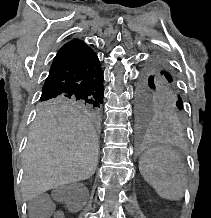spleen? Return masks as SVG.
I'll use <instances>...</instances> for the list:
<instances>
[{
    "label": "spleen",
    "mask_w": 211,
    "mask_h": 218,
    "mask_svg": "<svg viewBox=\"0 0 211 218\" xmlns=\"http://www.w3.org/2000/svg\"><path fill=\"white\" fill-rule=\"evenodd\" d=\"M141 176L165 200H182L187 176L183 164L167 150H147L139 160Z\"/></svg>",
    "instance_id": "spleen-1"
}]
</instances>
